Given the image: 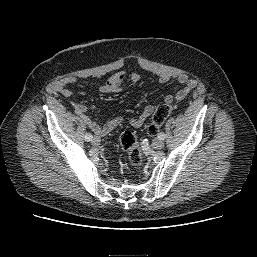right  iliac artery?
<instances>
[{
	"label": "right iliac artery",
	"mask_w": 257,
	"mask_h": 257,
	"mask_svg": "<svg viewBox=\"0 0 257 257\" xmlns=\"http://www.w3.org/2000/svg\"><path fill=\"white\" fill-rule=\"evenodd\" d=\"M84 138H85V140H86V141H88V142H89V141H91V140H92L93 136H92V134H91V133H86V135H85V137H84Z\"/></svg>",
	"instance_id": "obj_1"
}]
</instances>
